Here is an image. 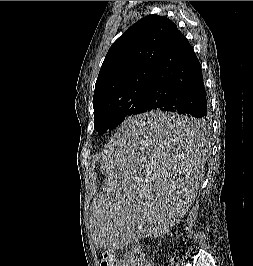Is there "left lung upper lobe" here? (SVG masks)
Wrapping results in <instances>:
<instances>
[{
	"label": "left lung upper lobe",
	"mask_w": 253,
	"mask_h": 266,
	"mask_svg": "<svg viewBox=\"0 0 253 266\" xmlns=\"http://www.w3.org/2000/svg\"><path fill=\"white\" fill-rule=\"evenodd\" d=\"M176 29L168 18L148 15L111 45L93 96L94 126L99 134L126 117L144 113L158 60Z\"/></svg>",
	"instance_id": "obj_1"
}]
</instances>
